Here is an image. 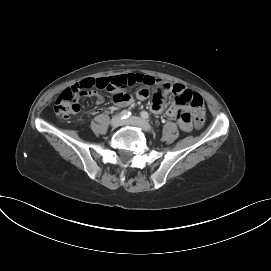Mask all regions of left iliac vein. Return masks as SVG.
Instances as JSON below:
<instances>
[{"label":"left iliac vein","instance_id":"obj_1","mask_svg":"<svg viewBox=\"0 0 271 271\" xmlns=\"http://www.w3.org/2000/svg\"><path fill=\"white\" fill-rule=\"evenodd\" d=\"M123 124L137 126L145 131L152 130L151 126L145 120H143L139 117H136V116H132V117L128 118L127 120H124Z\"/></svg>","mask_w":271,"mask_h":271}]
</instances>
